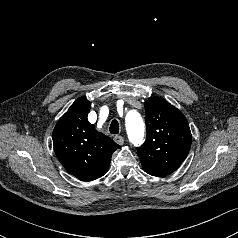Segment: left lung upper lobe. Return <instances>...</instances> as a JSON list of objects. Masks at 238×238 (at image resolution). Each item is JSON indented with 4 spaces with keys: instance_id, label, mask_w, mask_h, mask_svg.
Returning <instances> with one entry per match:
<instances>
[{
    "instance_id": "1",
    "label": "left lung upper lobe",
    "mask_w": 238,
    "mask_h": 238,
    "mask_svg": "<svg viewBox=\"0 0 238 238\" xmlns=\"http://www.w3.org/2000/svg\"><path fill=\"white\" fill-rule=\"evenodd\" d=\"M147 137L137 148L145 172L165 177L174 172L187 157L191 131L183 113L161 97L145 102Z\"/></svg>"
}]
</instances>
